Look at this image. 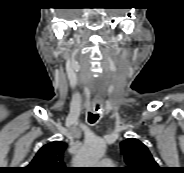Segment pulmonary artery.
<instances>
[{"mask_svg":"<svg viewBox=\"0 0 184 173\" xmlns=\"http://www.w3.org/2000/svg\"><path fill=\"white\" fill-rule=\"evenodd\" d=\"M100 164H101L102 166L107 167V166H111V165L113 164V162H112L110 159H104V160H102V161L100 162Z\"/></svg>","mask_w":184,"mask_h":173,"instance_id":"1","label":"pulmonary artery"}]
</instances>
